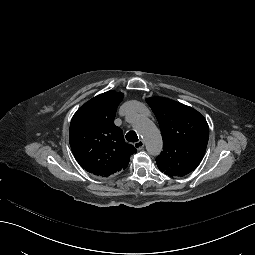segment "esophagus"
Masks as SVG:
<instances>
[{
    "mask_svg": "<svg viewBox=\"0 0 255 255\" xmlns=\"http://www.w3.org/2000/svg\"><path fill=\"white\" fill-rule=\"evenodd\" d=\"M134 147L137 150H141L144 147V141L143 140H139L138 142L134 143Z\"/></svg>",
    "mask_w": 255,
    "mask_h": 255,
    "instance_id": "1",
    "label": "esophagus"
}]
</instances>
